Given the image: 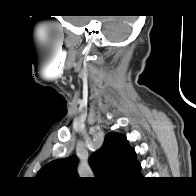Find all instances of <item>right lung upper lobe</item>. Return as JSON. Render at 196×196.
Returning <instances> with one entry per match:
<instances>
[{"label":"right lung upper lobe","mask_w":196,"mask_h":196,"mask_svg":"<svg viewBox=\"0 0 196 196\" xmlns=\"http://www.w3.org/2000/svg\"><path fill=\"white\" fill-rule=\"evenodd\" d=\"M75 157L52 161L45 165L37 177L49 185H59L76 178ZM90 166L98 178L132 180L140 176L141 165L124 135L109 133L104 145L90 158Z\"/></svg>","instance_id":"right-lung-upper-lobe-1"}]
</instances>
